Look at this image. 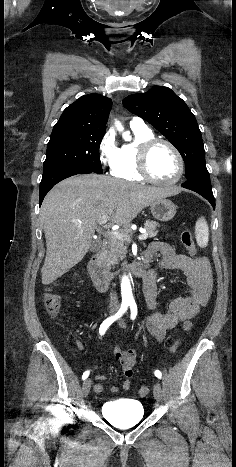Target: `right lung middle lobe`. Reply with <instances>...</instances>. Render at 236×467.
<instances>
[{
	"mask_svg": "<svg viewBox=\"0 0 236 467\" xmlns=\"http://www.w3.org/2000/svg\"><path fill=\"white\" fill-rule=\"evenodd\" d=\"M105 132L53 128L43 172L60 166H80L102 174L99 146Z\"/></svg>",
	"mask_w": 236,
	"mask_h": 467,
	"instance_id": "1",
	"label": "right lung middle lobe"
}]
</instances>
